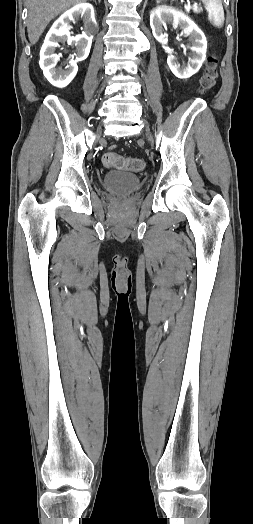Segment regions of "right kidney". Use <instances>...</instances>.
<instances>
[{"label":"right kidney","mask_w":253,"mask_h":524,"mask_svg":"<svg viewBox=\"0 0 253 524\" xmlns=\"http://www.w3.org/2000/svg\"><path fill=\"white\" fill-rule=\"evenodd\" d=\"M83 19L84 31L81 35L71 36L70 21ZM96 32L94 8L91 4L82 3L63 13L52 25L46 35L40 51V67L47 80L56 87H66L76 76L77 62L85 60L90 52L93 34ZM75 46V60L69 62L66 70L56 68L58 56L54 53L59 46L58 42H65Z\"/></svg>","instance_id":"right-kidney-1"}]
</instances>
